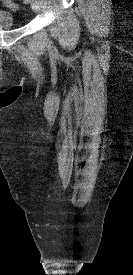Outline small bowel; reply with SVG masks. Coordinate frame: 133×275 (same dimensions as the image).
Instances as JSON below:
<instances>
[{"label": "small bowel", "mask_w": 133, "mask_h": 275, "mask_svg": "<svg viewBox=\"0 0 133 275\" xmlns=\"http://www.w3.org/2000/svg\"><path fill=\"white\" fill-rule=\"evenodd\" d=\"M3 2H5L9 7L13 8V4L11 3L10 0H2Z\"/></svg>", "instance_id": "c3829d8e"}]
</instances>
